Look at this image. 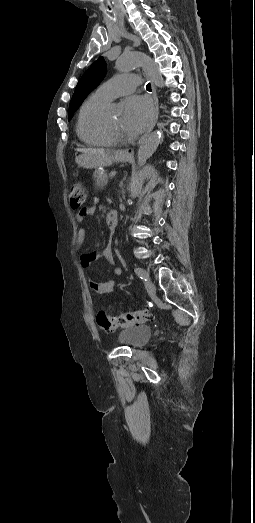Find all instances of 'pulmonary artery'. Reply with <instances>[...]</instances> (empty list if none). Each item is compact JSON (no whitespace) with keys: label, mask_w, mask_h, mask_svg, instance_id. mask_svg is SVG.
<instances>
[{"label":"pulmonary artery","mask_w":255,"mask_h":523,"mask_svg":"<svg viewBox=\"0 0 255 523\" xmlns=\"http://www.w3.org/2000/svg\"><path fill=\"white\" fill-rule=\"evenodd\" d=\"M139 82L140 79L136 75L122 73L120 76L112 78L111 81L103 83L99 90L110 99L120 95L127 98L131 92H136Z\"/></svg>","instance_id":"e3ab8cb5"}]
</instances>
